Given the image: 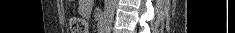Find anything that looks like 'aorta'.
Segmentation results:
<instances>
[{
	"mask_svg": "<svg viewBox=\"0 0 235 33\" xmlns=\"http://www.w3.org/2000/svg\"><path fill=\"white\" fill-rule=\"evenodd\" d=\"M117 0H105V7H104V23L106 28H109L116 8Z\"/></svg>",
	"mask_w": 235,
	"mask_h": 33,
	"instance_id": "1",
	"label": "aorta"
}]
</instances>
